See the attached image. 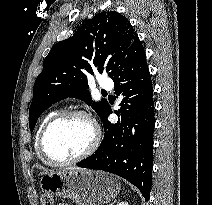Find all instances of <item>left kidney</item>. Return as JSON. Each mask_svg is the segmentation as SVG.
I'll return each instance as SVG.
<instances>
[{"label":"left kidney","mask_w":212,"mask_h":205,"mask_svg":"<svg viewBox=\"0 0 212 205\" xmlns=\"http://www.w3.org/2000/svg\"><path fill=\"white\" fill-rule=\"evenodd\" d=\"M117 205H128V203L127 202H125V201H123V202H120L119 204H117Z\"/></svg>","instance_id":"5707ae66"}]
</instances>
